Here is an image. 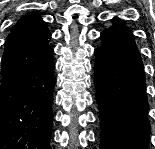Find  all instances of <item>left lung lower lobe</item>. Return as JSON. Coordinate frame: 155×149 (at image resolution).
Returning a JSON list of instances; mask_svg holds the SVG:
<instances>
[{
    "mask_svg": "<svg viewBox=\"0 0 155 149\" xmlns=\"http://www.w3.org/2000/svg\"><path fill=\"white\" fill-rule=\"evenodd\" d=\"M95 87L102 149H147L150 126L143 63L124 23L101 32Z\"/></svg>",
    "mask_w": 155,
    "mask_h": 149,
    "instance_id": "left-lung-lower-lobe-1",
    "label": "left lung lower lobe"
}]
</instances>
